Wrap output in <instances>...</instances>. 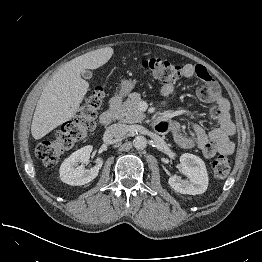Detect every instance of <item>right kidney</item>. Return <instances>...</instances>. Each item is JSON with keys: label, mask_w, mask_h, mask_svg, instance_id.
<instances>
[{"label": "right kidney", "mask_w": 262, "mask_h": 262, "mask_svg": "<svg viewBox=\"0 0 262 262\" xmlns=\"http://www.w3.org/2000/svg\"><path fill=\"white\" fill-rule=\"evenodd\" d=\"M91 151L92 146H85L63 161L60 167V178L64 183L73 186L84 185L97 177L103 164L101 158L96 159V166L91 169H85L83 165L89 161Z\"/></svg>", "instance_id": "right-kidney-1"}]
</instances>
